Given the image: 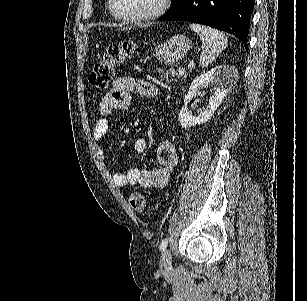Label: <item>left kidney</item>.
<instances>
[{"label":"left kidney","mask_w":307,"mask_h":301,"mask_svg":"<svg viewBox=\"0 0 307 301\" xmlns=\"http://www.w3.org/2000/svg\"><path fill=\"white\" fill-rule=\"evenodd\" d=\"M235 82H237V68L232 64H218L208 72H203L200 76H196L190 84L188 94L184 98V106L179 112L178 120L181 126L189 128V126L203 124V122L210 120L212 114L220 106L224 96H226L231 86H234ZM204 86H214L210 90L209 106L206 110L200 112L198 116H193L188 104L193 96L204 94V90H202Z\"/></svg>","instance_id":"obj_1"}]
</instances>
